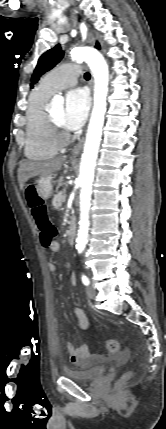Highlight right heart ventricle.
<instances>
[{"label": "right heart ventricle", "mask_w": 166, "mask_h": 429, "mask_svg": "<svg viewBox=\"0 0 166 429\" xmlns=\"http://www.w3.org/2000/svg\"><path fill=\"white\" fill-rule=\"evenodd\" d=\"M51 95V92L39 86L31 92L28 99L25 155L31 160L49 159L58 150L51 138L46 116V103Z\"/></svg>", "instance_id": "right-heart-ventricle-1"}]
</instances>
